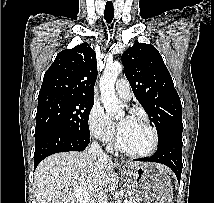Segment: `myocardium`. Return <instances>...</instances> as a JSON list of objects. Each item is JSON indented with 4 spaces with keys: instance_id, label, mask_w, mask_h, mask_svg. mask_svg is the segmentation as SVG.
Here are the masks:
<instances>
[{
    "instance_id": "1",
    "label": "myocardium",
    "mask_w": 214,
    "mask_h": 203,
    "mask_svg": "<svg viewBox=\"0 0 214 203\" xmlns=\"http://www.w3.org/2000/svg\"><path fill=\"white\" fill-rule=\"evenodd\" d=\"M135 120L141 122L143 125H145L151 132L152 134V144L150 148L147 151L144 152H132L127 149H125L121 143L120 139V129L118 130L117 133V138H116V148L119 152L122 154L131 157V158H146L154 154L158 148V143H159V136L156 128L151 125L147 120L142 119V118H135Z\"/></svg>"
}]
</instances>
